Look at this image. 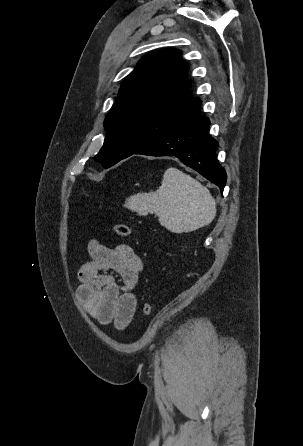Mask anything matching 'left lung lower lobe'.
I'll return each mask as SVG.
<instances>
[{
    "label": "left lung lower lobe",
    "instance_id": "1",
    "mask_svg": "<svg viewBox=\"0 0 303 446\" xmlns=\"http://www.w3.org/2000/svg\"><path fill=\"white\" fill-rule=\"evenodd\" d=\"M201 104L199 100L170 133L133 154L175 156L223 192L227 175L216 158L218 142L207 134L210 121L202 115Z\"/></svg>",
    "mask_w": 303,
    "mask_h": 446
}]
</instances>
